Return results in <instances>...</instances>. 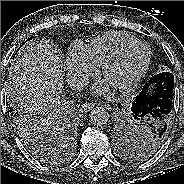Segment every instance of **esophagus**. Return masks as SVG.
<instances>
[{
    "label": "esophagus",
    "mask_w": 184,
    "mask_h": 184,
    "mask_svg": "<svg viewBox=\"0 0 184 184\" xmlns=\"http://www.w3.org/2000/svg\"><path fill=\"white\" fill-rule=\"evenodd\" d=\"M94 106H95L94 103H84L81 109L82 111L87 112V111H90Z\"/></svg>",
    "instance_id": "1"
}]
</instances>
